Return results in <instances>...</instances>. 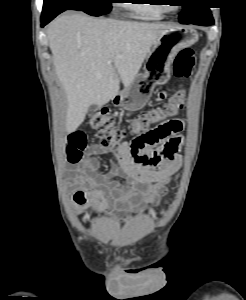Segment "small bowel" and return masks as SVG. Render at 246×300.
Returning <instances> with one entry per match:
<instances>
[{
	"label": "small bowel",
	"mask_w": 246,
	"mask_h": 300,
	"mask_svg": "<svg viewBox=\"0 0 246 300\" xmlns=\"http://www.w3.org/2000/svg\"><path fill=\"white\" fill-rule=\"evenodd\" d=\"M178 121L181 122L180 132L183 122ZM179 132L171 141L147 152L149 156L159 157L157 165L144 164L140 158L145 153H135L129 142L123 143L114 152L107 173L99 172L98 156H109L112 151L98 144L89 145L84 157L79 162H72L67 177L77 214L99 216L110 208L132 212L158 204L167 192V183L182 165L180 148L183 139ZM116 177H124L126 182L122 183Z\"/></svg>",
	"instance_id": "obj_1"
}]
</instances>
